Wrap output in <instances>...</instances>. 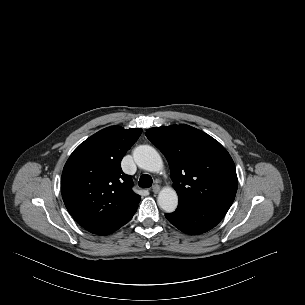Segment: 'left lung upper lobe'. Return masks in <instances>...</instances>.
I'll list each match as a JSON object with an SVG mask.
<instances>
[{"instance_id":"1","label":"left lung upper lobe","mask_w":305,"mask_h":305,"mask_svg":"<svg viewBox=\"0 0 305 305\" xmlns=\"http://www.w3.org/2000/svg\"><path fill=\"white\" fill-rule=\"evenodd\" d=\"M146 136L169 163L178 206L232 205L238 187L235 164L218 141L185 124L150 128Z\"/></svg>"}]
</instances>
